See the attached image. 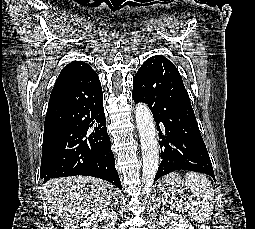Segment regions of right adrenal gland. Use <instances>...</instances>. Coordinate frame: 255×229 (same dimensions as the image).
Masks as SVG:
<instances>
[{
  "instance_id": "2a0ac1e0",
  "label": "right adrenal gland",
  "mask_w": 255,
  "mask_h": 229,
  "mask_svg": "<svg viewBox=\"0 0 255 229\" xmlns=\"http://www.w3.org/2000/svg\"><path fill=\"white\" fill-rule=\"evenodd\" d=\"M113 206H117V207L119 206L118 199L116 197H114L113 203L111 204V207Z\"/></svg>"
}]
</instances>
